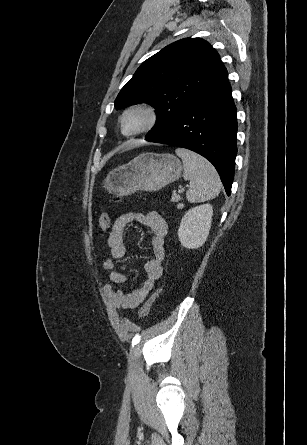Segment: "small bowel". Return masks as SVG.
Wrapping results in <instances>:
<instances>
[{
  "label": "small bowel",
  "instance_id": "small-bowel-1",
  "mask_svg": "<svg viewBox=\"0 0 307 445\" xmlns=\"http://www.w3.org/2000/svg\"><path fill=\"white\" fill-rule=\"evenodd\" d=\"M133 222H138L147 227L152 236L150 246L152 258L145 263L147 278L143 285L130 292L115 289L113 284L121 285L126 282V276L118 269L117 263L127 253L125 244V230ZM167 234V224L164 218L156 211H133L120 215L114 222L107 244L110 248L111 256L103 262V268L109 272L110 281L103 287V293L108 298L109 303L114 308L134 309L138 307L154 288L155 283L163 273V260L165 258V236Z\"/></svg>",
  "mask_w": 307,
  "mask_h": 445
}]
</instances>
